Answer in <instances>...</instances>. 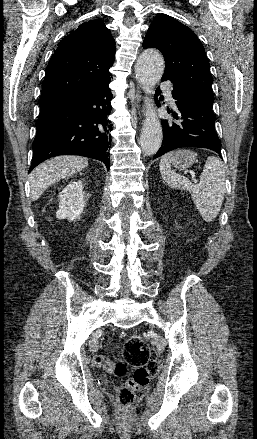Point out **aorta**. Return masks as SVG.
Here are the masks:
<instances>
[{
    "label": "aorta",
    "instance_id": "aorta-1",
    "mask_svg": "<svg viewBox=\"0 0 257 439\" xmlns=\"http://www.w3.org/2000/svg\"><path fill=\"white\" fill-rule=\"evenodd\" d=\"M164 72V59L156 49L143 51L136 63V79L146 94H152ZM147 111L140 136V146L145 155H154L162 142V127L153 108L152 99H146Z\"/></svg>",
    "mask_w": 257,
    "mask_h": 439
}]
</instances>
